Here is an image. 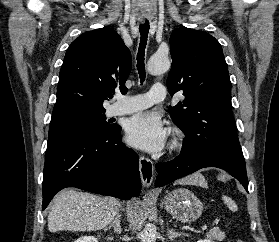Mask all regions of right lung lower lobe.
<instances>
[{
  "label": "right lung lower lobe",
  "instance_id": "98d812e1",
  "mask_svg": "<svg viewBox=\"0 0 279 242\" xmlns=\"http://www.w3.org/2000/svg\"><path fill=\"white\" fill-rule=\"evenodd\" d=\"M138 155L121 142V127L95 138H77L47 148L43 172L44 210L67 187L130 199L141 191Z\"/></svg>",
  "mask_w": 279,
  "mask_h": 242
}]
</instances>
